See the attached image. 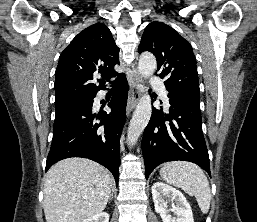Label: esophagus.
I'll list each match as a JSON object with an SVG mask.
<instances>
[{"label":"esophagus","mask_w":257,"mask_h":222,"mask_svg":"<svg viewBox=\"0 0 257 222\" xmlns=\"http://www.w3.org/2000/svg\"><path fill=\"white\" fill-rule=\"evenodd\" d=\"M142 78L137 71V69H133L131 74V88H130V95L127 102V113L129 114L137 105L142 91Z\"/></svg>","instance_id":"34e87169"}]
</instances>
